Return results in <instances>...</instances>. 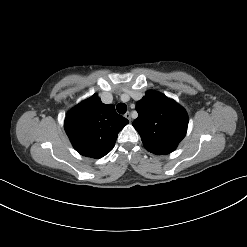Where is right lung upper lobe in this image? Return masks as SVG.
Wrapping results in <instances>:
<instances>
[{
  "mask_svg": "<svg viewBox=\"0 0 247 247\" xmlns=\"http://www.w3.org/2000/svg\"><path fill=\"white\" fill-rule=\"evenodd\" d=\"M128 123L114 105L103 104L94 94L66 114L64 128L78 153L98 159L113 149L118 133Z\"/></svg>",
  "mask_w": 247,
  "mask_h": 247,
  "instance_id": "cb5924a9",
  "label": "right lung upper lobe"
}]
</instances>
